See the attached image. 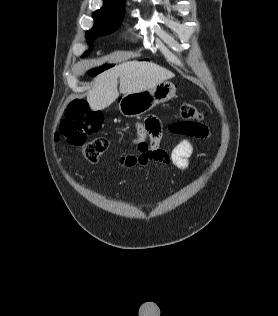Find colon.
Wrapping results in <instances>:
<instances>
[{
    "label": "colon",
    "mask_w": 278,
    "mask_h": 316,
    "mask_svg": "<svg viewBox=\"0 0 278 316\" xmlns=\"http://www.w3.org/2000/svg\"><path fill=\"white\" fill-rule=\"evenodd\" d=\"M206 115L190 103H183L178 110V120L171 126L173 133L197 136L205 125ZM103 114L92 111L87 102L82 99L72 101L61 121L59 133L66 141L75 146H83L85 158L95 162L108 148L110 141L106 137H97L89 142V135L100 130L103 124Z\"/></svg>",
    "instance_id": "1"
}]
</instances>
